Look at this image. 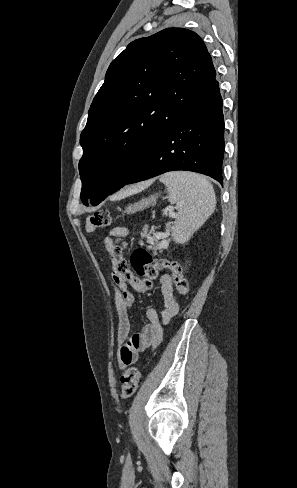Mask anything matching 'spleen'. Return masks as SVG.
<instances>
[{"label":"spleen","mask_w":297,"mask_h":488,"mask_svg":"<svg viewBox=\"0 0 297 488\" xmlns=\"http://www.w3.org/2000/svg\"><path fill=\"white\" fill-rule=\"evenodd\" d=\"M160 181L168 189L169 202L179 206L171 227L172 236L176 242L185 243L213 213L214 189L206 178L189 172H169Z\"/></svg>","instance_id":"1"}]
</instances>
